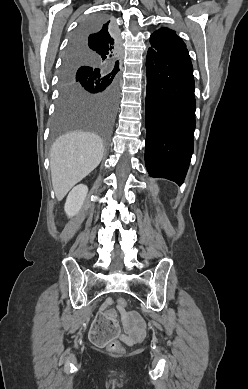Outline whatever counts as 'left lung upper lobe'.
Wrapping results in <instances>:
<instances>
[{
  "mask_svg": "<svg viewBox=\"0 0 248 389\" xmlns=\"http://www.w3.org/2000/svg\"><path fill=\"white\" fill-rule=\"evenodd\" d=\"M151 48L159 51L174 49H186L185 43L179 38L175 31L162 27L155 31L150 37Z\"/></svg>",
  "mask_w": 248,
  "mask_h": 389,
  "instance_id": "5c2ea615",
  "label": "left lung upper lobe"
}]
</instances>
